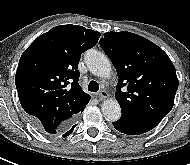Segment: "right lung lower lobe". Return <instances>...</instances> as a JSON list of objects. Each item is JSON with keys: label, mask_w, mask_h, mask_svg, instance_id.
<instances>
[{"label": "right lung lower lobe", "mask_w": 190, "mask_h": 165, "mask_svg": "<svg viewBox=\"0 0 190 165\" xmlns=\"http://www.w3.org/2000/svg\"><path fill=\"white\" fill-rule=\"evenodd\" d=\"M31 122H32L35 126L39 127V123H38L35 119H31ZM75 126H76V125H74L67 133L63 134V137H66V136L70 135V134L72 133V131H73V128H74Z\"/></svg>", "instance_id": "1"}]
</instances>
